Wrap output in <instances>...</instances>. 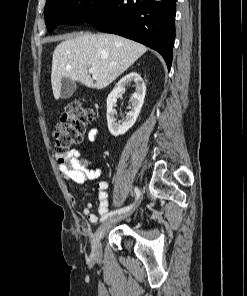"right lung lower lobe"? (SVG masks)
Returning a JSON list of instances; mask_svg holds the SVG:
<instances>
[{
  "label": "right lung lower lobe",
  "instance_id": "obj_1",
  "mask_svg": "<svg viewBox=\"0 0 247 296\" xmlns=\"http://www.w3.org/2000/svg\"><path fill=\"white\" fill-rule=\"evenodd\" d=\"M177 0H108L102 13L89 23L101 32L140 42L172 63Z\"/></svg>",
  "mask_w": 247,
  "mask_h": 296
}]
</instances>
